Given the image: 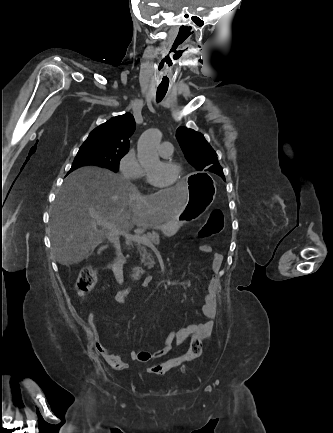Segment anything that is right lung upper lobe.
<instances>
[{
	"label": "right lung upper lobe",
	"mask_w": 333,
	"mask_h": 433,
	"mask_svg": "<svg viewBox=\"0 0 333 433\" xmlns=\"http://www.w3.org/2000/svg\"><path fill=\"white\" fill-rule=\"evenodd\" d=\"M135 120L132 114L116 116L95 128L84 143L102 147L129 150V137L135 131Z\"/></svg>",
	"instance_id": "1"
}]
</instances>
